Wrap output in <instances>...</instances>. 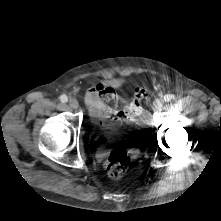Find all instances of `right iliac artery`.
Masks as SVG:
<instances>
[{"label":"right iliac artery","mask_w":221,"mask_h":221,"mask_svg":"<svg viewBox=\"0 0 221 221\" xmlns=\"http://www.w3.org/2000/svg\"><path fill=\"white\" fill-rule=\"evenodd\" d=\"M60 101H61L62 103H66V102L68 101V97H67L66 95H61V96H60Z\"/></svg>","instance_id":"82829eb1"}]
</instances>
